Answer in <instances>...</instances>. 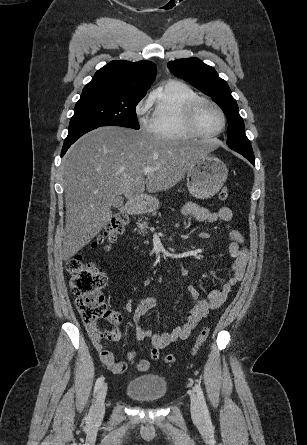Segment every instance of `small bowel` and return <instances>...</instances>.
<instances>
[{"mask_svg":"<svg viewBox=\"0 0 307 445\" xmlns=\"http://www.w3.org/2000/svg\"><path fill=\"white\" fill-rule=\"evenodd\" d=\"M182 213L200 222L213 224L223 221L227 224L231 237L228 252L233 260L231 266L232 272L228 281L225 282L220 289L210 291L206 298H202L193 286H187V290L193 300V306L189 311L185 323L170 332L152 333L143 326L142 318L155 308L156 301L149 297L140 300L132 316L135 333L139 339L150 340L149 359H141L137 362V369L140 372L148 370L150 361H157L159 359L160 351L163 348L177 340L187 339L199 322L205 318L211 310L219 308L227 299L232 288L242 280L247 266L249 252L245 246L242 234L230 226V222L233 219V212L229 207H222L219 211H210L196 203L188 202L182 207ZM123 276L130 277L126 274ZM87 331L102 363L114 374H122L125 372L127 367L126 362L117 360L113 353L103 344L104 339L109 340L110 332L98 329L94 323L87 324ZM135 355V352H129L127 359L131 361L135 358Z\"/></svg>","mask_w":307,"mask_h":445,"instance_id":"c3829d8e","label":"small bowel"}]
</instances>
